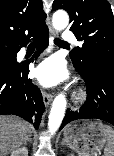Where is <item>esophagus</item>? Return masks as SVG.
<instances>
[{"label":"esophagus","mask_w":114,"mask_h":156,"mask_svg":"<svg viewBox=\"0 0 114 156\" xmlns=\"http://www.w3.org/2000/svg\"><path fill=\"white\" fill-rule=\"evenodd\" d=\"M56 36H57V32L52 27H50L49 42L51 46L53 45V41ZM42 96H43V102L45 106H49V104L53 100V94L43 90Z\"/></svg>","instance_id":"1"}]
</instances>
